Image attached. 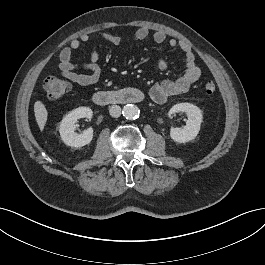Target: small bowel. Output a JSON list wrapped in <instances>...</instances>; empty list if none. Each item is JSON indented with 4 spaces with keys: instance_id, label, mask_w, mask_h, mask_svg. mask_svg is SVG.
Wrapping results in <instances>:
<instances>
[{
    "instance_id": "1",
    "label": "small bowel",
    "mask_w": 265,
    "mask_h": 265,
    "mask_svg": "<svg viewBox=\"0 0 265 265\" xmlns=\"http://www.w3.org/2000/svg\"><path fill=\"white\" fill-rule=\"evenodd\" d=\"M150 31L146 27H140L136 30L132 37L133 42H139L149 37ZM156 43H165L169 47L179 48L183 54L185 61V72L175 80H164L155 84L151 91L150 97L157 104H164L170 98L185 94L191 86L201 77V69L196 63L195 55L189 43L178 41L174 38H168L163 31H156L152 35ZM93 39H101L113 45H120L122 37L116 34L101 32L95 35L84 34L80 38L73 39L70 44L63 48L59 56V68L62 76L81 86H89L97 83L101 77L100 53L97 49H92L89 58L82 64H77L72 61L73 52L78 50L83 43ZM158 70H165L167 62L159 60L156 64ZM84 70L85 73L79 72Z\"/></svg>"
}]
</instances>
